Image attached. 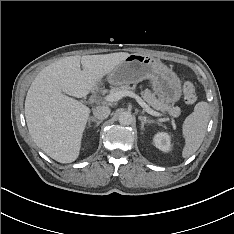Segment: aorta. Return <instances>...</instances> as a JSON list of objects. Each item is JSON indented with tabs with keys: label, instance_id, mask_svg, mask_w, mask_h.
Listing matches in <instances>:
<instances>
[{
	"label": "aorta",
	"instance_id": "obj_1",
	"mask_svg": "<svg viewBox=\"0 0 234 234\" xmlns=\"http://www.w3.org/2000/svg\"><path fill=\"white\" fill-rule=\"evenodd\" d=\"M133 121V117L130 113L128 112H121L120 115H119V123L121 125H130Z\"/></svg>",
	"mask_w": 234,
	"mask_h": 234
}]
</instances>
